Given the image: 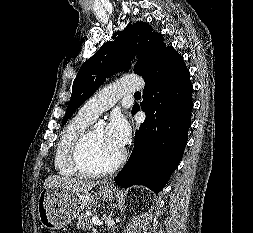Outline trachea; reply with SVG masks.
<instances>
[{
    "label": "trachea",
    "mask_w": 253,
    "mask_h": 233,
    "mask_svg": "<svg viewBox=\"0 0 253 233\" xmlns=\"http://www.w3.org/2000/svg\"><path fill=\"white\" fill-rule=\"evenodd\" d=\"M135 95H141V93L140 92H136Z\"/></svg>",
    "instance_id": "obj_1"
}]
</instances>
